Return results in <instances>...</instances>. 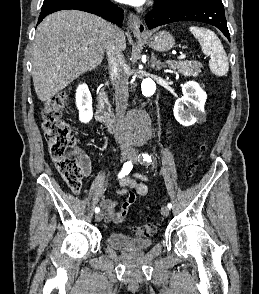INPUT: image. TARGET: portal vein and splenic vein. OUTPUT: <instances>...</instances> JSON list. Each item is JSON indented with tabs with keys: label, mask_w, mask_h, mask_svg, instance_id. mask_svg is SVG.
I'll return each mask as SVG.
<instances>
[{
	"label": "portal vein and splenic vein",
	"mask_w": 259,
	"mask_h": 294,
	"mask_svg": "<svg viewBox=\"0 0 259 294\" xmlns=\"http://www.w3.org/2000/svg\"><path fill=\"white\" fill-rule=\"evenodd\" d=\"M185 58H186V55H180V56L178 57L179 60H183V59H185Z\"/></svg>",
	"instance_id": "portal-vein-and-splenic-vein-1"
}]
</instances>
